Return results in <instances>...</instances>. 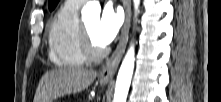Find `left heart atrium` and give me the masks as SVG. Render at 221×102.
<instances>
[{
    "label": "left heart atrium",
    "instance_id": "left-heart-atrium-1",
    "mask_svg": "<svg viewBox=\"0 0 221 102\" xmlns=\"http://www.w3.org/2000/svg\"><path fill=\"white\" fill-rule=\"evenodd\" d=\"M122 23V13L111 5L105 6L95 30L97 42L100 45L109 44L118 34Z\"/></svg>",
    "mask_w": 221,
    "mask_h": 102
}]
</instances>
